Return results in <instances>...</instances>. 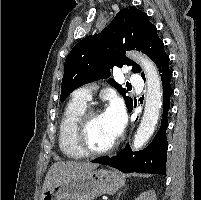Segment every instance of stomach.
<instances>
[{"instance_id":"stomach-1","label":"stomach","mask_w":201,"mask_h":200,"mask_svg":"<svg viewBox=\"0 0 201 200\" xmlns=\"http://www.w3.org/2000/svg\"><path fill=\"white\" fill-rule=\"evenodd\" d=\"M116 171L99 169L73 174L42 192L39 200H93L124 185Z\"/></svg>"}]
</instances>
